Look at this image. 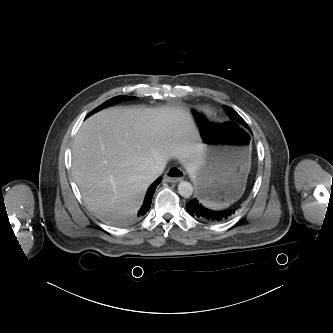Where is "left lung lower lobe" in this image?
<instances>
[{
  "mask_svg": "<svg viewBox=\"0 0 333 333\" xmlns=\"http://www.w3.org/2000/svg\"><path fill=\"white\" fill-rule=\"evenodd\" d=\"M187 211L190 215L199 218L206 222H223L229 218H231L236 213V208L221 210V211H213L203 207L199 204L198 200L193 199L186 204Z\"/></svg>",
  "mask_w": 333,
  "mask_h": 333,
  "instance_id": "0a47b994",
  "label": "left lung lower lobe"
}]
</instances>
